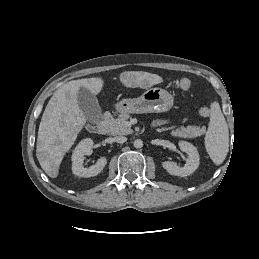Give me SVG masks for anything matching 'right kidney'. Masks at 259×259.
I'll list each match as a JSON object with an SVG mask.
<instances>
[{"instance_id":"ca27d5eb","label":"right kidney","mask_w":259,"mask_h":259,"mask_svg":"<svg viewBox=\"0 0 259 259\" xmlns=\"http://www.w3.org/2000/svg\"><path fill=\"white\" fill-rule=\"evenodd\" d=\"M93 144L92 139L86 138L80 141L76 146L72 154V172L74 175L80 177H93L98 175L107 164V159L102 157L98 159L95 165L89 168L83 166L85 156L92 154Z\"/></svg>"}]
</instances>
